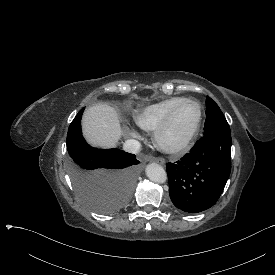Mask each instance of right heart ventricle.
<instances>
[{
	"label": "right heart ventricle",
	"instance_id": "1",
	"mask_svg": "<svg viewBox=\"0 0 275 275\" xmlns=\"http://www.w3.org/2000/svg\"><path fill=\"white\" fill-rule=\"evenodd\" d=\"M183 99L182 97L168 98L135 109L132 112V120L141 129L153 132L163 123L173 106Z\"/></svg>",
	"mask_w": 275,
	"mask_h": 275
}]
</instances>
